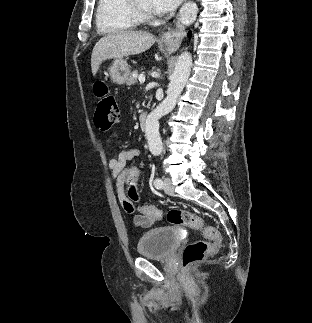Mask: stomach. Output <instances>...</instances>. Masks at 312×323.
I'll return each mask as SVG.
<instances>
[{
  "label": "stomach",
  "instance_id": "stomach-1",
  "mask_svg": "<svg viewBox=\"0 0 312 323\" xmlns=\"http://www.w3.org/2000/svg\"><path fill=\"white\" fill-rule=\"evenodd\" d=\"M109 74L115 84H125L130 74V68L125 60H115L109 68Z\"/></svg>",
  "mask_w": 312,
  "mask_h": 323
}]
</instances>
